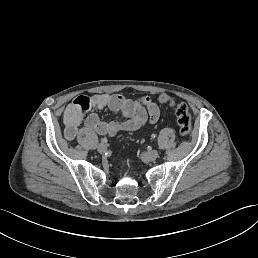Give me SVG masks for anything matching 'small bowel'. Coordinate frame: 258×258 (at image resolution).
I'll return each mask as SVG.
<instances>
[{"instance_id":"1","label":"small bowel","mask_w":258,"mask_h":258,"mask_svg":"<svg viewBox=\"0 0 258 258\" xmlns=\"http://www.w3.org/2000/svg\"><path fill=\"white\" fill-rule=\"evenodd\" d=\"M102 109L118 112L121 117L110 122L101 120L94 110ZM159 117V107L149 96L131 100L120 94L79 95L64 109V134L73 140L83 123L87 131L113 136L120 131H137L147 123L154 124Z\"/></svg>"}]
</instances>
